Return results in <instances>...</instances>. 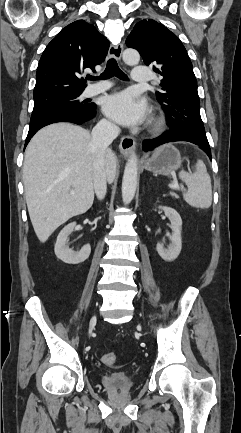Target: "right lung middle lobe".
I'll return each mask as SVG.
<instances>
[{"mask_svg": "<svg viewBox=\"0 0 241 433\" xmlns=\"http://www.w3.org/2000/svg\"><path fill=\"white\" fill-rule=\"evenodd\" d=\"M82 91H56L34 97V108L30 124L57 111L82 110L88 104L80 102Z\"/></svg>", "mask_w": 241, "mask_h": 433, "instance_id": "right-lung-middle-lobe-1", "label": "right lung middle lobe"}]
</instances>
